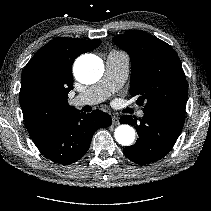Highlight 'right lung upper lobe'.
Returning a JSON list of instances; mask_svg holds the SVG:
<instances>
[{"label": "right lung upper lobe", "instance_id": "obj_1", "mask_svg": "<svg viewBox=\"0 0 211 211\" xmlns=\"http://www.w3.org/2000/svg\"><path fill=\"white\" fill-rule=\"evenodd\" d=\"M100 44L98 39L56 38L27 63L21 76L19 101L33 141L76 110L67 100L73 89L72 64L79 55Z\"/></svg>", "mask_w": 211, "mask_h": 211}]
</instances>
